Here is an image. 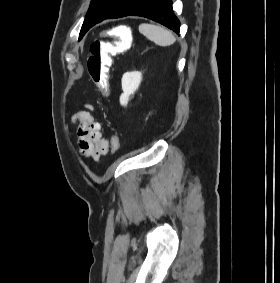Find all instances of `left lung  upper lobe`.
I'll return each instance as SVG.
<instances>
[{
	"instance_id": "left-lung-upper-lobe-1",
	"label": "left lung upper lobe",
	"mask_w": 280,
	"mask_h": 283,
	"mask_svg": "<svg viewBox=\"0 0 280 283\" xmlns=\"http://www.w3.org/2000/svg\"><path fill=\"white\" fill-rule=\"evenodd\" d=\"M144 1L145 0H92L80 31V39L95 24L107 18L127 16Z\"/></svg>"
}]
</instances>
